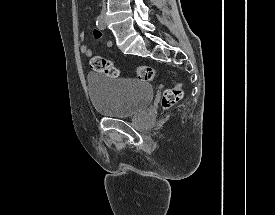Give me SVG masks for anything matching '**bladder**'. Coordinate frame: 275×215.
<instances>
[{
	"label": "bladder",
	"instance_id": "31cf9c89",
	"mask_svg": "<svg viewBox=\"0 0 275 215\" xmlns=\"http://www.w3.org/2000/svg\"><path fill=\"white\" fill-rule=\"evenodd\" d=\"M93 108L108 118H126L146 109L153 97V87L145 81L112 79L103 74L87 76Z\"/></svg>",
	"mask_w": 275,
	"mask_h": 215
}]
</instances>
